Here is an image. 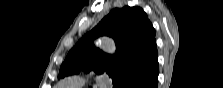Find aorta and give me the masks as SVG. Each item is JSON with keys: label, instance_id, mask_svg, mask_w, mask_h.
Listing matches in <instances>:
<instances>
[{"label": "aorta", "instance_id": "aorta-1", "mask_svg": "<svg viewBox=\"0 0 223 88\" xmlns=\"http://www.w3.org/2000/svg\"><path fill=\"white\" fill-rule=\"evenodd\" d=\"M97 45L105 52L113 54L116 50L114 41L108 37H101Z\"/></svg>", "mask_w": 223, "mask_h": 88}]
</instances>
